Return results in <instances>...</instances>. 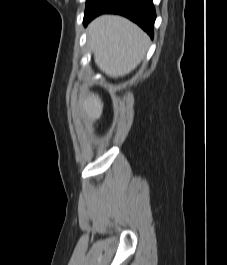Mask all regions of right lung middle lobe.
Masks as SVG:
<instances>
[{"label": "right lung middle lobe", "instance_id": "right-lung-middle-lobe-1", "mask_svg": "<svg viewBox=\"0 0 227 265\" xmlns=\"http://www.w3.org/2000/svg\"><path fill=\"white\" fill-rule=\"evenodd\" d=\"M105 0H87L84 20L90 17L104 3Z\"/></svg>", "mask_w": 227, "mask_h": 265}]
</instances>
